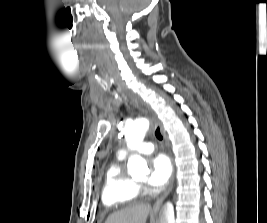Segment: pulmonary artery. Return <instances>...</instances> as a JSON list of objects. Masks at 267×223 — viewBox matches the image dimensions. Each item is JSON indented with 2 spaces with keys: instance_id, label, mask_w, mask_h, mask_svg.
Returning <instances> with one entry per match:
<instances>
[{
  "instance_id": "obj_1",
  "label": "pulmonary artery",
  "mask_w": 267,
  "mask_h": 223,
  "mask_svg": "<svg viewBox=\"0 0 267 223\" xmlns=\"http://www.w3.org/2000/svg\"><path fill=\"white\" fill-rule=\"evenodd\" d=\"M155 145L153 142H145L142 145L134 148V149H129V148H123L120 151V156H126L130 153H141V154H147L150 153L154 150Z\"/></svg>"
}]
</instances>
